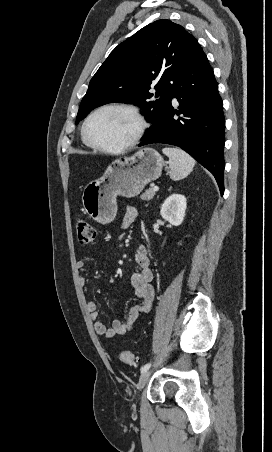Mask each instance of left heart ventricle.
Returning a JSON list of instances; mask_svg holds the SVG:
<instances>
[{"instance_id":"1","label":"left heart ventricle","mask_w":272,"mask_h":452,"mask_svg":"<svg viewBox=\"0 0 272 452\" xmlns=\"http://www.w3.org/2000/svg\"><path fill=\"white\" fill-rule=\"evenodd\" d=\"M136 130V122L130 114L121 110H105L89 123V134L96 142L118 147L130 140Z\"/></svg>"}]
</instances>
